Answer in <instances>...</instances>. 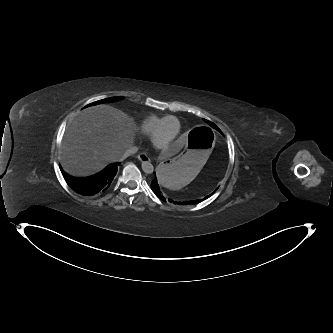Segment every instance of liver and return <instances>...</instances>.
<instances>
[{
  "mask_svg": "<svg viewBox=\"0 0 333 333\" xmlns=\"http://www.w3.org/2000/svg\"><path fill=\"white\" fill-rule=\"evenodd\" d=\"M137 127L133 119L109 105L80 111L67 126L60 150L64 170L85 177L116 162L132 146ZM187 140L178 136L159 151L163 160L185 149Z\"/></svg>",
  "mask_w": 333,
  "mask_h": 333,
  "instance_id": "liver-1",
  "label": "liver"
}]
</instances>
